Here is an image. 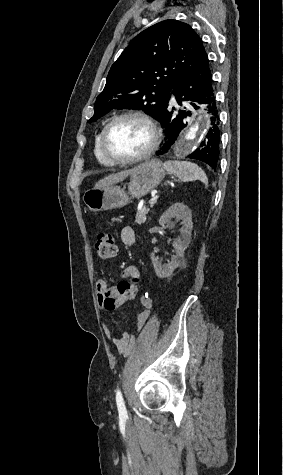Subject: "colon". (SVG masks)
Listing matches in <instances>:
<instances>
[{
	"label": "colon",
	"instance_id": "5ec220e1",
	"mask_svg": "<svg viewBox=\"0 0 283 475\" xmlns=\"http://www.w3.org/2000/svg\"><path fill=\"white\" fill-rule=\"evenodd\" d=\"M95 252L96 259L99 262H106L112 256L117 253V246L115 243L114 236L109 231H101L97 234L95 239ZM136 280H133L132 283H127L125 280H120L118 286L116 287V292L120 295L116 298L106 297L104 299L105 306L109 309L120 308L121 304H126L128 301H131L136 294Z\"/></svg>",
	"mask_w": 283,
	"mask_h": 475
}]
</instances>
